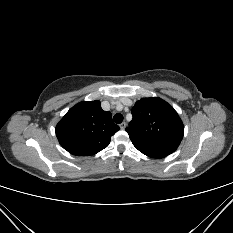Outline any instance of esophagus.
Listing matches in <instances>:
<instances>
[{
    "label": "esophagus",
    "instance_id": "obj_1",
    "mask_svg": "<svg viewBox=\"0 0 233 233\" xmlns=\"http://www.w3.org/2000/svg\"><path fill=\"white\" fill-rule=\"evenodd\" d=\"M126 126H127V123H126V122H122V123L120 124V128H121L122 130H124V129L126 128Z\"/></svg>",
    "mask_w": 233,
    "mask_h": 233
}]
</instances>
